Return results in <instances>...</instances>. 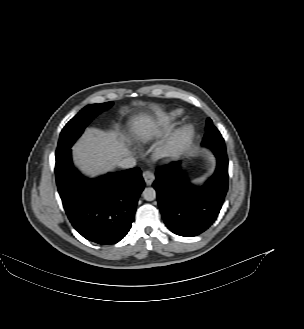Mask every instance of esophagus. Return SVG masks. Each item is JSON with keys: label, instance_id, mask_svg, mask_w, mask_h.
I'll use <instances>...</instances> for the list:
<instances>
[{"label": "esophagus", "instance_id": "esophagus-1", "mask_svg": "<svg viewBox=\"0 0 304 329\" xmlns=\"http://www.w3.org/2000/svg\"><path fill=\"white\" fill-rule=\"evenodd\" d=\"M143 178L147 185H151L155 179V175L152 171L147 170L143 172Z\"/></svg>", "mask_w": 304, "mask_h": 329}]
</instances>
